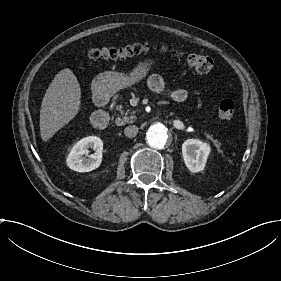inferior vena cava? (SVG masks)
Instances as JSON below:
<instances>
[{
  "instance_id": "1",
  "label": "inferior vena cava",
  "mask_w": 281,
  "mask_h": 281,
  "mask_svg": "<svg viewBox=\"0 0 281 281\" xmlns=\"http://www.w3.org/2000/svg\"><path fill=\"white\" fill-rule=\"evenodd\" d=\"M137 133H138V127L135 125L127 126L124 129L125 136H127L129 138L135 137L137 135Z\"/></svg>"
}]
</instances>
